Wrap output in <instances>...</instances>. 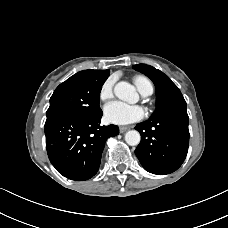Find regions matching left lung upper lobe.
Wrapping results in <instances>:
<instances>
[{
	"label": "left lung upper lobe",
	"mask_w": 228,
	"mask_h": 228,
	"mask_svg": "<svg viewBox=\"0 0 228 228\" xmlns=\"http://www.w3.org/2000/svg\"><path fill=\"white\" fill-rule=\"evenodd\" d=\"M133 68L147 75L155 84L157 93V108L148 121L156 120L167 111L186 105L179 88L160 70L146 64H137Z\"/></svg>",
	"instance_id": "left-lung-upper-lobe-1"
}]
</instances>
